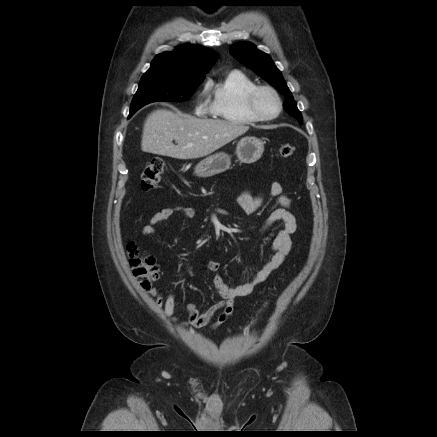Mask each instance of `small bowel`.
I'll return each mask as SVG.
<instances>
[{"instance_id": "1", "label": "small bowel", "mask_w": 437, "mask_h": 437, "mask_svg": "<svg viewBox=\"0 0 437 437\" xmlns=\"http://www.w3.org/2000/svg\"><path fill=\"white\" fill-rule=\"evenodd\" d=\"M268 195L276 200L278 207L269 215L261 229L265 232L276 222H281L282 227L277 232L272 244V256L255 275L245 284L230 287L221 278L219 272L220 264L215 261L207 263V269L213 273V285L217 290L221 301L209 307L206 311L200 312L195 305L189 304L186 308L187 318L179 322L175 317L176 299L174 294H168L165 298L155 290L152 295L156 298V304L161 307L164 314L173 322L181 326H193L201 328L208 325L216 318L213 327L216 328L225 323L233 313L234 302L240 297H244L253 292V290L264 282L273 271H275L285 260L292 247L291 235L296 231L297 224L292 214L291 200L283 195L282 186L278 182H273L268 188ZM264 203V196L252 195L248 191L242 192L237 199V204L246 215L254 214ZM175 213H179L184 218L192 219L195 217V210L185 206L166 207L157 211L149 220L148 224L142 229L143 236L153 235L157 232V226L169 219Z\"/></svg>"}]
</instances>
